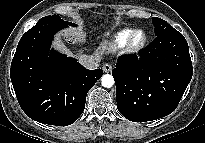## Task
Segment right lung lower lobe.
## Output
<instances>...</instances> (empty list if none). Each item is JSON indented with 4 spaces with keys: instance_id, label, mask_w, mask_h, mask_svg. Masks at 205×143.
I'll return each mask as SVG.
<instances>
[{
    "instance_id": "right-lung-lower-lobe-1",
    "label": "right lung lower lobe",
    "mask_w": 205,
    "mask_h": 143,
    "mask_svg": "<svg viewBox=\"0 0 205 143\" xmlns=\"http://www.w3.org/2000/svg\"><path fill=\"white\" fill-rule=\"evenodd\" d=\"M66 26L40 19L20 39L10 69L18 102L33 120L67 126L85 108L86 95L103 75L50 49L53 35Z\"/></svg>"
}]
</instances>
